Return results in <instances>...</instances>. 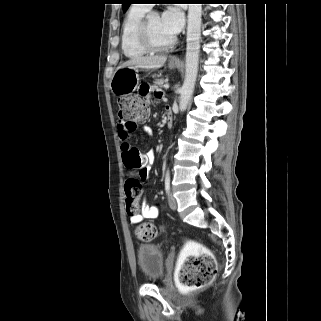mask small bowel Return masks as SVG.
I'll list each match as a JSON object with an SVG mask.
<instances>
[{"instance_id": "obj_1", "label": "small bowel", "mask_w": 321, "mask_h": 321, "mask_svg": "<svg viewBox=\"0 0 321 321\" xmlns=\"http://www.w3.org/2000/svg\"><path fill=\"white\" fill-rule=\"evenodd\" d=\"M150 91H151V88L148 82H141L136 89L138 97H143V103L145 105H148L150 103V96H149ZM154 95L158 99H162L164 97L163 92L160 90H154ZM117 128H118V138L120 140V148L122 151V158L125 163L127 157L131 153L136 152L138 150L129 143V137L133 130L127 128L125 124L121 121H118ZM144 131L149 136L153 134V131L150 127H145ZM141 156L145 161V165L139 170V176L142 180H148L149 169L146 166V163L149 161L150 158L153 157V154L152 153L150 155L141 154ZM158 216H159V208L157 206L143 204L139 213L133 214L130 216V221L132 224H138L145 219H156Z\"/></svg>"}]
</instances>
